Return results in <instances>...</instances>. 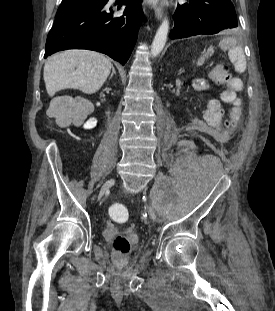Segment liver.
Returning a JSON list of instances; mask_svg holds the SVG:
<instances>
[{"instance_id":"obj_1","label":"liver","mask_w":275,"mask_h":311,"mask_svg":"<svg viewBox=\"0 0 275 311\" xmlns=\"http://www.w3.org/2000/svg\"><path fill=\"white\" fill-rule=\"evenodd\" d=\"M112 64L104 55L73 49L50 57L44 65V82L50 97L63 89L97 92L110 74Z\"/></svg>"}]
</instances>
